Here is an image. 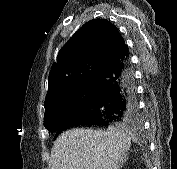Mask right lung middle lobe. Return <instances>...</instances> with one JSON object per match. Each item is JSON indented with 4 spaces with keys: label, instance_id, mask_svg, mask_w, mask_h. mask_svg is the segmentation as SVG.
I'll return each instance as SVG.
<instances>
[{
    "label": "right lung middle lobe",
    "instance_id": "1",
    "mask_svg": "<svg viewBox=\"0 0 177 169\" xmlns=\"http://www.w3.org/2000/svg\"><path fill=\"white\" fill-rule=\"evenodd\" d=\"M94 93V82H88L73 91L65 100L45 108V128L51 133L56 132L66 121L78 115L91 103Z\"/></svg>",
    "mask_w": 177,
    "mask_h": 169
}]
</instances>
